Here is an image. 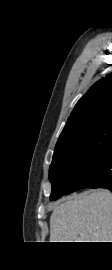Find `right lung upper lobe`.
<instances>
[{"instance_id":"obj_1","label":"right lung upper lobe","mask_w":112,"mask_h":270,"mask_svg":"<svg viewBox=\"0 0 112 270\" xmlns=\"http://www.w3.org/2000/svg\"><path fill=\"white\" fill-rule=\"evenodd\" d=\"M106 122H112V73L96 82L77 102L57 144Z\"/></svg>"}]
</instances>
